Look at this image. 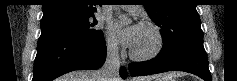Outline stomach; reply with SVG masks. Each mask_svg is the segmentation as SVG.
I'll return each mask as SVG.
<instances>
[{
  "instance_id": "1",
  "label": "stomach",
  "mask_w": 237,
  "mask_h": 81,
  "mask_svg": "<svg viewBox=\"0 0 237 81\" xmlns=\"http://www.w3.org/2000/svg\"><path fill=\"white\" fill-rule=\"evenodd\" d=\"M155 81H166V80L160 78V79H156Z\"/></svg>"
}]
</instances>
